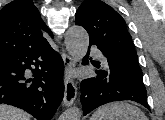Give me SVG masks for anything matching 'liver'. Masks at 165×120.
Listing matches in <instances>:
<instances>
[{
  "label": "liver",
  "instance_id": "obj_1",
  "mask_svg": "<svg viewBox=\"0 0 165 120\" xmlns=\"http://www.w3.org/2000/svg\"><path fill=\"white\" fill-rule=\"evenodd\" d=\"M31 116L11 105L0 104V120H30Z\"/></svg>",
  "mask_w": 165,
  "mask_h": 120
}]
</instances>
